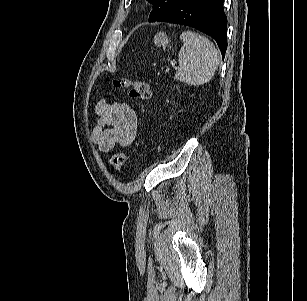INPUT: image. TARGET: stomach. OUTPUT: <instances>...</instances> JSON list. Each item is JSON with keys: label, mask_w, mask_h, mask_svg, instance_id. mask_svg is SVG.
<instances>
[{"label": "stomach", "mask_w": 307, "mask_h": 301, "mask_svg": "<svg viewBox=\"0 0 307 301\" xmlns=\"http://www.w3.org/2000/svg\"><path fill=\"white\" fill-rule=\"evenodd\" d=\"M169 39H168V36L166 35V33H163V32H159L155 35L154 37V43L155 45L157 46H163V47H166L169 43Z\"/></svg>", "instance_id": "stomach-1"}]
</instances>
